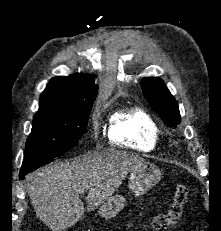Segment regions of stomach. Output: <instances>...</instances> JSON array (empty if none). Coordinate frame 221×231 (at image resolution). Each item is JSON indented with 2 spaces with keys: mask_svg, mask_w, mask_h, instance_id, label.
<instances>
[{
  "mask_svg": "<svg viewBox=\"0 0 221 231\" xmlns=\"http://www.w3.org/2000/svg\"><path fill=\"white\" fill-rule=\"evenodd\" d=\"M160 179V169L152 163L144 162L131 170L128 187L132 193L139 196L153 188ZM124 206V197L116 194L101 205L99 214L104 218H111L116 216Z\"/></svg>",
  "mask_w": 221,
  "mask_h": 231,
  "instance_id": "obj_1",
  "label": "stomach"
}]
</instances>
